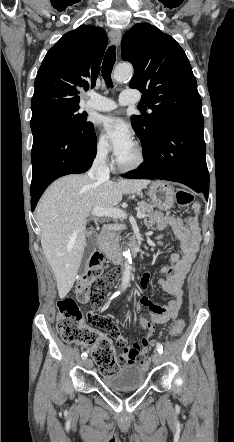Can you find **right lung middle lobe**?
<instances>
[{
	"instance_id": "obj_1",
	"label": "right lung middle lobe",
	"mask_w": 234,
	"mask_h": 442,
	"mask_svg": "<svg viewBox=\"0 0 234 442\" xmlns=\"http://www.w3.org/2000/svg\"><path fill=\"white\" fill-rule=\"evenodd\" d=\"M78 110L79 107L56 108L32 115L31 129L39 125L54 124L62 126L76 135L86 137L94 130V127L91 122L87 121V113H79Z\"/></svg>"
}]
</instances>
